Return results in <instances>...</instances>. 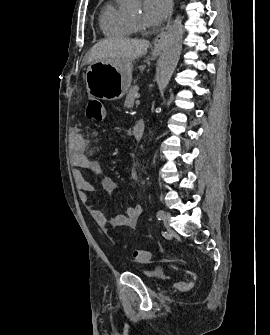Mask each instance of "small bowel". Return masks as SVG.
<instances>
[{"label": "small bowel", "instance_id": "small-bowel-1", "mask_svg": "<svg viewBox=\"0 0 270 335\" xmlns=\"http://www.w3.org/2000/svg\"><path fill=\"white\" fill-rule=\"evenodd\" d=\"M87 141L80 132V129L74 127L69 134V150L70 162L73 165V178L76 188L79 192V198L82 203H89V193L95 192L94 185L89 182L83 174L82 170H87L93 174H98L102 171L99 162L91 160L86 154ZM132 177L138 179V174L133 171ZM103 188L107 193H113L116 190V184L113 179L107 177L103 181ZM89 212L96 223L101 227L114 228H135L143 213V207L139 204L130 206L125 213L117 214L112 219L108 220L102 211L89 206Z\"/></svg>", "mask_w": 270, "mask_h": 335}]
</instances>
